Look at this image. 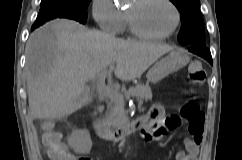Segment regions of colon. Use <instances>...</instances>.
<instances>
[{
    "instance_id": "colon-1",
    "label": "colon",
    "mask_w": 242,
    "mask_h": 160,
    "mask_svg": "<svg viewBox=\"0 0 242 160\" xmlns=\"http://www.w3.org/2000/svg\"><path fill=\"white\" fill-rule=\"evenodd\" d=\"M205 70L200 62H192L188 67V77L192 83L201 84L205 80ZM182 117L190 123L189 131L195 132L202 126L204 115L199 104L193 99L188 100L182 107ZM44 133L42 142L47 153L52 160H66L69 151L62 142V135L54 128L51 122H46L43 126ZM76 160H90L88 157H78Z\"/></svg>"
}]
</instances>
